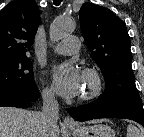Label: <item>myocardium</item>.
<instances>
[{
    "instance_id": "1",
    "label": "myocardium",
    "mask_w": 144,
    "mask_h": 137,
    "mask_svg": "<svg viewBox=\"0 0 144 137\" xmlns=\"http://www.w3.org/2000/svg\"><path fill=\"white\" fill-rule=\"evenodd\" d=\"M84 77L90 80V88L79 96V101H90L98 97L103 88V80L99 71L93 67L83 69Z\"/></svg>"
}]
</instances>
